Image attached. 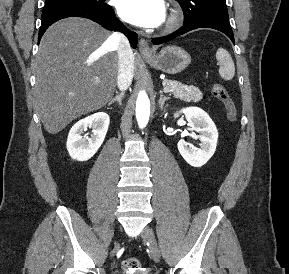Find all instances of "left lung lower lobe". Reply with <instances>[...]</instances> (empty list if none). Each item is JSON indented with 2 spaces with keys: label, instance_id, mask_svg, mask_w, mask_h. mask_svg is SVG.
<instances>
[{
  "label": "left lung lower lobe",
  "instance_id": "1",
  "mask_svg": "<svg viewBox=\"0 0 289 274\" xmlns=\"http://www.w3.org/2000/svg\"><path fill=\"white\" fill-rule=\"evenodd\" d=\"M197 28L216 29L226 34L232 40V42L235 43L234 35L230 26L229 19L225 17H216V16L203 17V18L194 20L190 23L184 24L183 27L178 29L176 32L172 33L170 36L165 37V38H160V39H154L152 40V43L156 45L161 44Z\"/></svg>",
  "mask_w": 289,
  "mask_h": 274
}]
</instances>
